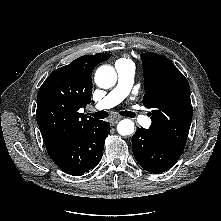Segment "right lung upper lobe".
<instances>
[{
    "label": "right lung upper lobe",
    "instance_id": "obj_1",
    "mask_svg": "<svg viewBox=\"0 0 221 221\" xmlns=\"http://www.w3.org/2000/svg\"><path fill=\"white\" fill-rule=\"evenodd\" d=\"M109 53L82 56L53 71L37 96L36 119L47 152L50 153L98 121L79 113L91 100V75Z\"/></svg>",
    "mask_w": 221,
    "mask_h": 221
}]
</instances>
